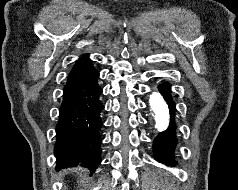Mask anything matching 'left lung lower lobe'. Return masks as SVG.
Wrapping results in <instances>:
<instances>
[{
	"label": "left lung lower lobe",
	"mask_w": 238,
	"mask_h": 190,
	"mask_svg": "<svg viewBox=\"0 0 238 190\" xmlns=\"http://www.w3.org/2000/svg\"><path fill=\"white\" fill-rule=\"evenodd\" d=\"M159 91L167 101L171 113V121L168 129L160 133L154 140V154L158 161L166 163L167 165H175L173 150L177 144L176 138V123H175V103L172 100L171 86L169 83H163L158 86Z\"/></svg>",
	"instance_id": "obj_1"
}]
</instances>
